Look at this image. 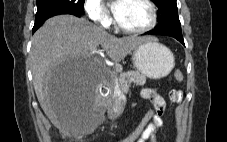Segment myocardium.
Segmentation results:
<instances>
[{
	"label": "myocardium",
	"instance_id": "obj_1",
	"mask_svg": "<svg viewBox=\"0 0 227 142\" xmlns=\"http://www.w3.org/2000/svg\"><path fill=\"white\" fill-rule=\"evenodd\" d=\"M143 2L147 5V7L149 9V21L146 25H144L143 27H140V28H128V27L123 26L117 20L116 16H114L113 22H114L115 28L117 30H119L123 33H127V34H142V33L148 32L151 29H153L157 23V18H158L156 5L154 4V2L152 0H143Z\"/></svg>",
	"mask_w": 227,
	"mask_h": 142
}]
</instances>
